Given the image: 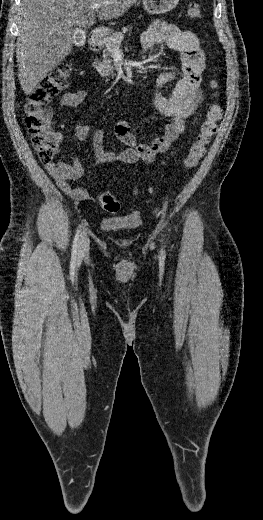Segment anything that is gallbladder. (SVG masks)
Returning a JSON list of instances; mask_svg holds the SVG:
<instances>
[{"instance_id": "obj_1", "label": "gallbladder", "mask_w": 263, "mask_h": 520, "mask_svg": "<svg viewBox=\"0 0 263 520\" xmlns=\"http://www.w3.org/2000/svg\"><path fill=\"white\" fill-rule=\"evenodd\" d=\"M77 29H73L72 34L74 35L76 33Z\"/></svg>"}]
</instances>
